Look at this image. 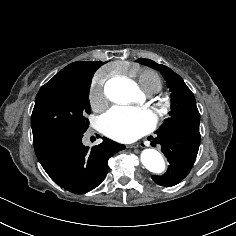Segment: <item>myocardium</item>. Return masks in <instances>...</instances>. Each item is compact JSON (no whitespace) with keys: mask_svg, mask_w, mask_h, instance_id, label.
Listing matches in <instances>:
<instances>
[{"mask_svg":"<svg viewBox=\"0 0 236 236\" xmlns=\"http://www.w3.org/2000/svg\"><path fill=\"white\" fill-rule=\"evenodd\" d=\"M169 112V109L167 106L163 107L161 110H160V114L163 118H166L167 114Z\"/></svg>","mask_w":236,"mask_h":236,"instance_id":"myocardium-1","label":"myocardium"}]
</instances>
